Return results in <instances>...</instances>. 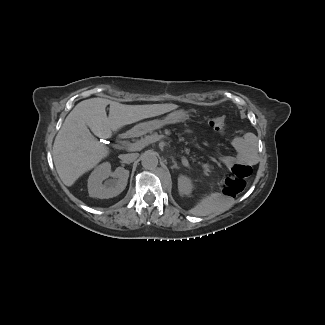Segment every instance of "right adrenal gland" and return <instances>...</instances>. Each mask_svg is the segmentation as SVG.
Returning <instances> with one entry per match:
<instances>
[{
	"mask_svg": "<svg viewBox=\"0 0 325 325\" xmlns=\"http://www.w3.org/2000/svg\"><path fill=\"white\" fill-rule=\"evenodd\" d=\"M120 163H121L122 165L125 164V162H123V161H121ZM127 164H130V163H127Z\"/></svg>",
	"mask_w": 325,
	"mask_h": 325,
	"instance_id": "1",
	"label": "right adrenal gland"
}]
</instances>
